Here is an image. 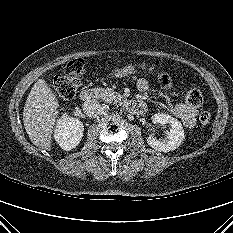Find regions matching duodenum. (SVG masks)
Masks as SVG:
<instances>
[{"instance_id":"410a0bca","label":"duodenum","mask_w":233,"mask_h":233,"mask_svg":"<svg viewBox=\"0 0 233 233\" xmlns=\"http://www.w3.org/2000/svg\"><path fill=\"white\" fill-rule=\"evenodd\" d=\"M95 97L96 93L92 89L86 88L80 92V98L82 101L91 102L95 99ZM122 104L125 109L134 114H139L144 110L143 104L133 100H125Z\"/></svg>"}]
</instances>
